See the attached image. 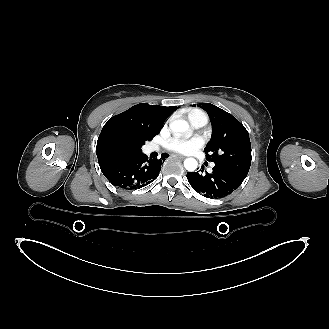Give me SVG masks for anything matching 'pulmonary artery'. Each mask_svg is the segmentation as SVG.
Listing matches in <instances>:
<instances>
[{
    "mask_svg": "<svg viewBox=\"0 0 329 329\" xmlns=\"http://www.w3.org/2000/svg\"><path fill=\"white\" fill-rule=\"evenodd\" d=\"M207 122H208L207 117H199V118H196L195 120H193L191 123L195 128H200V127H203L204 125H206ZM150 150L155 151V150H157V147L151 146Z\"/></svg>",
    "mask_w": 329,
    "mask_h": 329,
    "instance_id": "e3ab8cb5",
    "label": "pulmonary artery"
}]
</instances>
